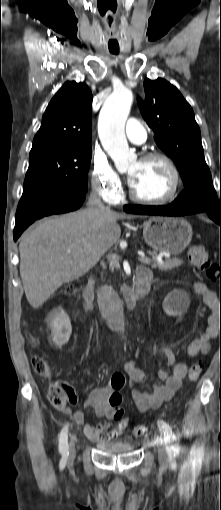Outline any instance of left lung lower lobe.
<instances>
[{
	"label": "left lung lower lobe",
	"mask_w": 221,
	"mask_h": 510,
	"mask_svg": "<svg viewBox=\"0 0 221 510\" xmlns=\"http://www.w3.org/2000/svg\"><path fill=\"white\" fill-rule=\"evenodd\" d=\"M124 210L128 213L148 214V215H164V216H183L195 213L206 212L208 216L221 227V210L217 209H181L173 204L168 206H141V205H125Z\"/></svg>",
	"instance_id": "1"
}]
</instances>
